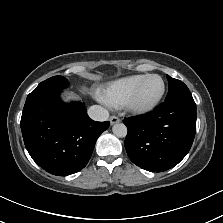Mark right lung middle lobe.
Here are the masks:
<instances>
[{"label": "right lung middle lobe", "instance_id": "1", "mask_svg": "<svg viewBox=\"0 0 223 223\" xmlns=\"http://www.w3.org/2000/svg\"><path fill=\"white\" fill-rule=\"evenodd\" d=\"M68 81L63 76H53L49 79L41 82L34 91H32L28 96L27 99L44 95L51 91H61L62 89L68 86Z\"/></svg>", "mask_w": 223, "mask_h": 223}]
</instances>
